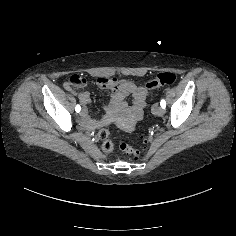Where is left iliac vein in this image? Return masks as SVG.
<instances>
[{"instance_id":"obj_1","label":"left iliac vein","mask_w":236,"mask_h":236,"mask_svg":"<svg viewBox=\"0 0 236 236\" xmlns=\"http://www.w3.org/2000/svg\"><path fill=\"white\" fill-rule=\"evenodd\" d=\"M152 113L159 116L164 113V109L161 106L154 105L152 107Z\"/></svg>"}]
</instances>
